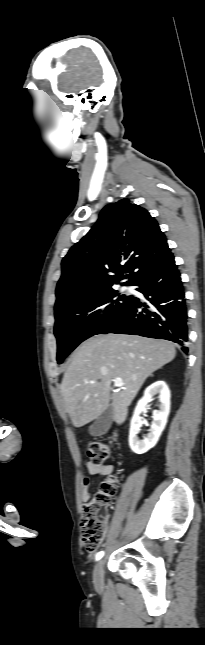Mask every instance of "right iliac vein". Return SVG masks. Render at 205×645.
Returning a JSON list of instances; mask_svg holds the SVG:
<instances>
[{
  "instance_id": "63e3f726",
  "label": "right iliac vein",
  "mask_w": 205,
  "mask_h": 645,
  "mask_svg": "<svg viewBox=\"0 0 205 645\" xmlns=\"http://www.w3.org/2000/svg\"><path fill=\"white\" fill-rule=\"evenodd\" d=\"M104 576V560L101 559L97 562L94 568V584L97 587H101L103 584Z\"/></svg>"
}]
</instances>
